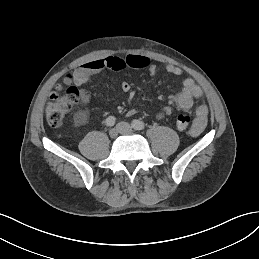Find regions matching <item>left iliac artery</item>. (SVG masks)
<instances>
[{
    "mask_svg": "<svg viewBox=\"0 0 259 259\" xmlns=\"http://www.w3.org/2000/svg\"><path fill=\"white\" fill-rule=\"evenodd\" d=\"M132 127L135 130H143L145 128V124L140 120H133L132 121Z\"/></svg>",
    "mask_w": 259,
    "mask_h": 259,
    "instance_id": "obj_1",
    "label": "left iliac artery"
}]
</instances>
